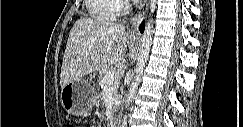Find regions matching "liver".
<instances>
[{
    "label": "liver",
    "mask_w": 243,
    "mask_h": 127,
    "mask_svg": "<svg viewBox=\"0 0 243 127\" xmlns=\"http://www.w3.org/2000/svg\"><path fill=\"white\" fill-rule=\"evenodd\" d=\"M135 41L121 25L80 18L68 37L60 74L61 87L69 82L120 63Z\"/></svg>",
    "instance_id": "1"
}]
</instances>
